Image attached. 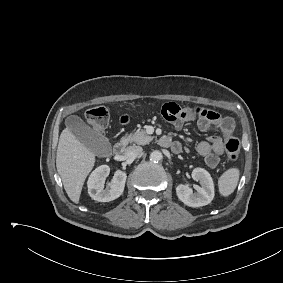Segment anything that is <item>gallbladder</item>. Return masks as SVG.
Returning <instances> with one entry per match:
<instances>
[{"instance_id":"gallbladder-1","label":"gallbladder","mask_w":283,"mask_h":283,"mask_svg":"<svg viewBox=\"0 0 283 283\" xmlns=\"http://www.w3.org/2000/svg\"><path fill=\"white\" fill-rule=\"evenodd\" d=\"M67 127L96 156L104 157L111 154L112 148L108 139L87 126L81 118L77 116L68 118Z\"/></svg>"}]
</instances>
